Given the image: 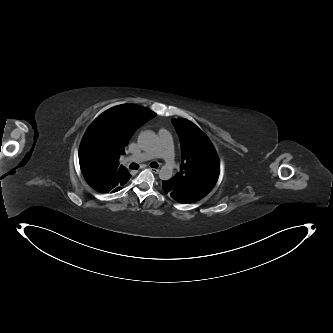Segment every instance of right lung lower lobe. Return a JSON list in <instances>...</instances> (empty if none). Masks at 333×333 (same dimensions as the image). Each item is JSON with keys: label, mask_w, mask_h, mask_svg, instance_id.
I'll return each instance as SVG.
<instances>
[{"label": "right lung lower lobe", "mask_w": 333, "mask_h": 333, "mask_svg": "<svg viewBox=\"0 0 333 333\" xmlns=\"http://www.w3.org/2000/svg\"><path fill=\"white\" fill-rule=\"evenodd\" d=\"M81 166V171L84 175L85 180L87 181V183L95 190L101 192V193H107V192H116L119 191L123 188V186L128 182V180L130 179V177L121 185L110 189L108 186H101L97 179H95V174L92 173L93 170V166L91 164H84L83 166L80 164Z\"/></svg>", "instance_id": "obj_1"}]
</instances>
